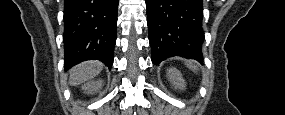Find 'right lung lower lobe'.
<instances>
[{
    "instance_id": "98d812e1",
    "label": "right lung lower lobe",
    "mask_w": 285,
    "mask_h": 115,
    "mask_svg": "<svg viewBox=\"0 0 285 115\" xmlns=\"http://www.w3.org/2000/svg\"><path fill=\"white\" fill-rule=\"evenodd\" d=\"M64 6L65 69L89 59L111 69L118 0H65Z\"/></svg>"
}]
</instances>
